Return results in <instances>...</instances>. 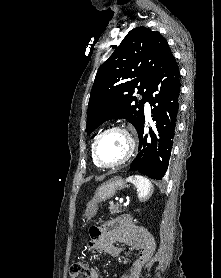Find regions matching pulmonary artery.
<instances>
[{"mask_svg": "<svg viewBox=\"0 0 221 278\" xmlns=\"http://www.w3.org/2000/svg\"><path fill=\"white\" fill-rule=\"evenodd\" d=\"M145 113L147 116H149L150 114V105L148 102L145 104Z\"/></svg>", "mask_w": 221, "mask_h": 278, "instance_id": "e3ab8cb5", "label": "pulmonary artery"}]
</instances>
